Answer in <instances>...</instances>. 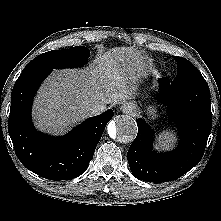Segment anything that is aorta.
<instances>
[{"label":"aorta","mask_w":221,"mask_h":221,"mask_svg":"<svg viewBox=\"0 0 221 221\" xmlns=\"http://www.w3.org/2000/svg\"><path fill=\"white\" fill-rule=\"evenodd\" d=\"M137 131V124L130 116L119 115L107 125V132L110 138L121 143L133 141Z\"/></svg>","instance_id":"762f6f07"}]
</instances>
